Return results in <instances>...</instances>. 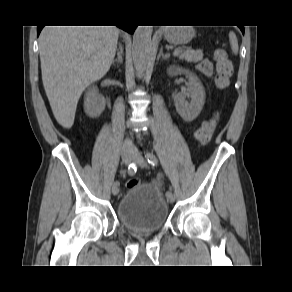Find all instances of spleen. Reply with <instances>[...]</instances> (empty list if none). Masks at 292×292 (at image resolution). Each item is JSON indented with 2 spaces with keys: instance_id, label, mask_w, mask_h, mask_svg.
I'll list each match as a JSON object with an SVG mask.
<instances>
[{
  "instance_id": "3e777b00",
  "label": "spleen",
  "mask_w": 292,
  "mask_h": 292,
  "mask_svg": "<svg viewBox=\"0 0 292 292\" xmlns=\"http://www.w3.org/2000/svg\"><path fill=\"white\" fill-rule=\"evenodd\" d=\"M229 40H230V44L232 47V51L234 52V54L238 53V41L236 38V35L233 32L229 33Z\"/></svg>"
}]
</instances>
